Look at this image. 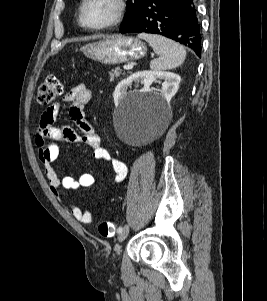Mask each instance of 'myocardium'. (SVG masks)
Masks as SVG:
<instances>
[{"label": "myocardium", "mask_w": 267, "mask_h": 301, "mask_svg": "<svg viewBox=\"0 0 267 301\" xmlns=\"http://www.w3.org/2000/svg\"><path fill=\"white\" fill-rule=\"evenodd\" d=\"M89 0H82L79 8V22L82 27L88 30H104L111 28L118 23H120L124 17L125 11H126V2L125 0H113V3L115 5V11L110 20H108L105 23L99 24V25H89L85 21V7Z\"/></svg>", "instance_id": "f54148a6"}]
</instances>
